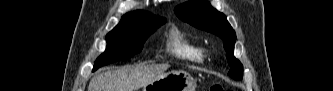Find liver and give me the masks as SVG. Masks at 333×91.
Wrapping results in <instances>:
<instances>
[{"label": "liver", "mask_w": 333, "mask_h": 91, "mask_svg": "<svg viewBox=\"0 0 333 91\" xmlns=\"http://www.w3.org/2000/svg\"><path fill=\"white\" fill-rule=\"evenodd\" d=\"M169 67L168 64H141L108 70L91 79L88 91H137L162 76Z\"/></svg>", "instance_id": "liver-1"}]
</instances>
